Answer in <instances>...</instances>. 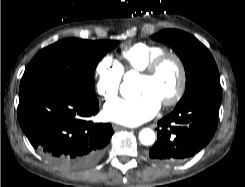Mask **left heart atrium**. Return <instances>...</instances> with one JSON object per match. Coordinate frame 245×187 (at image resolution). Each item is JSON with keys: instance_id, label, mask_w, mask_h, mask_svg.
I'll list each match as a JSON object with an SVG mask.
<instances>
[{"instance_id": "39dd6f15", "label": "left heart atrium", "mask_w": 245, "mask_h": 187, "mask_svg": "<svg viewBox=\"0 0 245 187\" xmlns=\"http://www.w3.org/2000/svg\"><path fill=\"white\" fill-rule=\"evenodd\" d=\"M161 107L151 92H143L134 100H119L107 104L103 110L106 120L126 126H137L153 118Z\"/></svg>"}]
</instances>
